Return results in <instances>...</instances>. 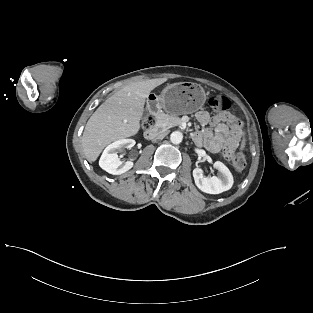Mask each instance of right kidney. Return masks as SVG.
<instances>
[{
    "label": "right kidney",
    "instance_id": "1",
    "mask_svg": "<svg viewBox=\"0 0 313 313\" xmlns=\"http://www.w3.org/2000/svg\"><path fill=\"white\" fill-rule=\"evenodd\" d=\"M135 145L133 139H121L108 145L103 151L99 160V166L106 172L113 175H120L133 167L132 161L122 162L118 158V152L123 149H131Z\"/></svg>",
    "mask_w": 313,
    "mask_h": 313
}]
</instances>
